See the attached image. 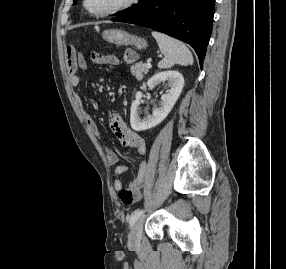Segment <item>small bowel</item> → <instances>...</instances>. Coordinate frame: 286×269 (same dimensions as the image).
Here are the masks:
<instances>
[{
  "instance_id": "obj_1",
  "label": "small bowel",
  "mask_w": 286,
  "mask_h": 269,
  "mask_svg": "<svg viewBox=\"0 0 286 269\" xmlns=\"http://www.w3.org/2000/svg\"><path fill=\"white\" fill-rule=\"evenodd\" d=\"M93 61L96 64H106L116 66L119 64L118 58L114 54H96L93 57ZM66 65L68 69L69 82L72 86L76 87L80 83L79 70L87 68V61L83 55L77 54L74 47L69 46L66 50ZM84 119L86 125L90 130L97 133L98 127L91 114L85 113ZM110 127L114 134L117 132L121 134L120 142L128 147L136 149L138 155L142 158L146 156L147 148L145 139L136 131L130 129L127 124L123 121L119 113H113L110 116ZM107 163L109 165H116L114 168V183L113 187L119 194L122 191H126L129 195L128 201H121L126 205H132L135 201L139 200L142 194V185L146 179L147 173V162L143 159L139 166L137 175L134 180L127 186L124 187L120 179V176L125 172L131 170L130 165H119V158L113 151H109L106 156Z\"/></svg>"
}]
</instances>
